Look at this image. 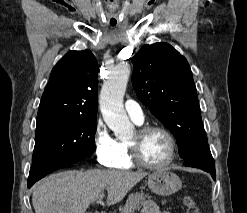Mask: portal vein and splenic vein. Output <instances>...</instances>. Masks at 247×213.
Listing matches in <instances>:
<instances>
[{"instance_id":"1","label":"portal vein and splenic vein","mask_w":247,"mask_h":213,"mask_svg":"<svg viewBox=\"0 0 247 213\" xmlns=\"http://www.w3.org/2000/svg\"><path fill=\"white\" fill-rule=\"evenodd\" d=\"M103 197H104V193H101V194L98 196L99 201H101V200L103 199Z\"/></svg>"}]
</instances>
